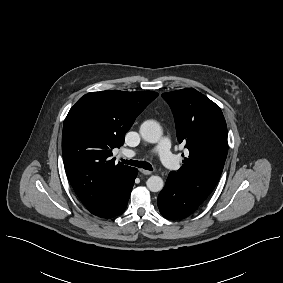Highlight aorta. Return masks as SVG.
Returning <instances> with one entry per match:
<instances>
[{"label":"aorta","mask_w":283,"mask_h":283,"mask_svg":"<svg viewBox=\"0 0 283 283\" xmlns=\"http://www.w3.org/2000/svg\"><path fill=\"white\" fill-rule=\"evenodd\" d=\"M142 138L149 143H157L162 137V128L154 120H147L140 127ZM147 188L151 192H159L164 187L163 179L159 176L152 175L146 182Z\"/></svg>","instance_id":"762f6f07"}]
</instances>
